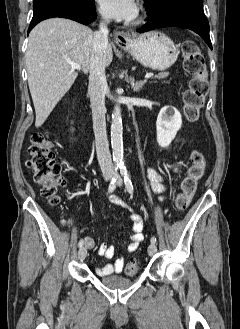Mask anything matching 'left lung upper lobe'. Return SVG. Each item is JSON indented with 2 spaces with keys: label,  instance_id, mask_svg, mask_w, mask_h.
<instances>
[{
  "label": "left lung upper lobe",
  "instance_id": "obj_1",
  "mask_svg": "<svg viewBox=\"0 0 240 329\" xmlns=\"http://www.w3.org/2000/svg\"><path fill=\"white\" fill-rule=\"evenodd\" d=\"M144 1H145L146 13L152 15L173 0H144ZM194 1L203 2V0H194Z\"/></svg>",
  "mask_w": 240,
  "mask_h": 329
}]
</instances>
